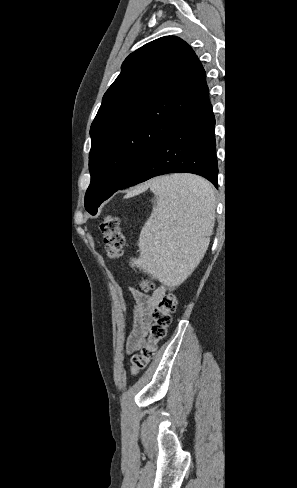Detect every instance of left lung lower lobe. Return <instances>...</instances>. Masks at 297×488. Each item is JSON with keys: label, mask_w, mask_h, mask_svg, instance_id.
I'll list each match as a JSON object with an SVG mask.
<instances>
[{"label": "left lung lower lobe", "mask_w": 297, "mask_h": 488, "mask_svg": "<svg viewBox=\"0 0 297 488\" xmlns=\"http://www.w3.org/2000/svg\"><path fill=\"white\" fill-rule=\"evenodd\" d=\"M214 125L215 118L209 102L170 133L119 189L174 172L203 176L217 187Z\"/></svg>", "instance_id": "obj_1"}]
</instances>
